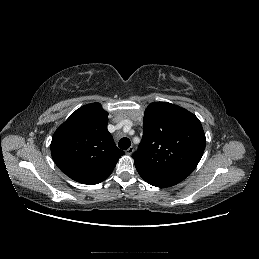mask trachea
Listing matches in <instances>:
<instances>
[{
	"label": "trachea",
	"mask_w": 259,
	"mask_h": 259,
	"mask_svg": "<svg viewBox=\"0 0 259 259\" xmlns=\"http://www.w3.org/2000/svg\"><path fill=\"white\" fill-rule=\"evenodd\" d=\"M130 145H131V141L126 137L121 138L118 143L119 148L122 150L128 149L130 147Z\"/></svg>",
	"instance_id": "3493384b"
}]
</instances>
